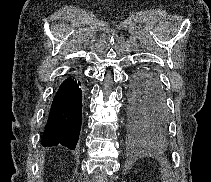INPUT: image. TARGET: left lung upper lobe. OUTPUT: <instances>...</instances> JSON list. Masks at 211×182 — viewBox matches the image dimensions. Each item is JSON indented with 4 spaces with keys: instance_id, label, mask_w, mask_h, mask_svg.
I'll list each match as a JSON object with an SVG mask.
<instances>
[{
    "instance_id": "left-lung-upper-lobe-1",
    "label": "left lung upper lobe",
    "mask_w": 211,
    "mask_h": 182,
    "mask_svg": "<svg viewBox=\"0 0 211 182\" xmlns=\"http://www.w3.org/2000/svg\"><path fill=\"white\" fill-rule=\"evenodd\" d=\"M130 113H131V116L133 117V119L138 123L140 124L141 126H143V128H145L149 133H152L151 129L145 125L143 122H141L140 120H138L135 116V110L133 108H130Z\"/></svg>"
}]
</instances>
